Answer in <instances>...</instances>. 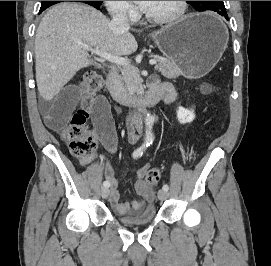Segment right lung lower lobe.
Wrapping results in <instances>:
<instances>
[{"label": "right lung lower lobe", "mask_w": 271, "mask_h": 266, "mask_svg": "<svg viewBox=\"0 0 271 266\" xmlns=\"http://www.w3.org/2000/svg\"><path fill=\"white\" fill-rule=\"evenodd\" d=\"M77 2H83V3L89 4V5H91V6L95 7V8H97V9H99V7H100V4L95 3V2H93V1H77ZM46 8H48V7L40 8L39 13H41L42 11H44Z\"/></svg>", "instance_id": "right-lung-lower-lobe-1"}]
</instances>
